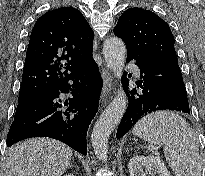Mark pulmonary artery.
Masks as SVG:
<instances>
[{
	"label": "pulmonary artery",
	"mask_w": 205,
	"mask_h": 176,
	"mask_svg": "<svg viewBox=\"0 0 205 176\" xmlns=\"http://www.w3.org/2000/svg\"><path fill=\"white\" fill-rule=\"evenodd\" d=\"M126 68H127L128 70H131L135 75L140 76L139 68H138L136 65H130V64H128V65L126 66Z\"/></svg>",
	"instance_id": "obj_1"
}]
</instances>
